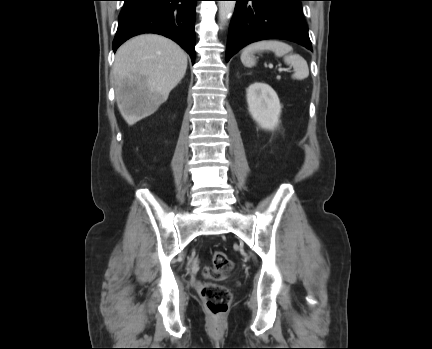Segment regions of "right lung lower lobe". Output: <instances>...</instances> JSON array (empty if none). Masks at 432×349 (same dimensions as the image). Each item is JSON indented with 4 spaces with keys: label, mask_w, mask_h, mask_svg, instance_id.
Returning <instances> with one entry per match:
<instances>
[{
    "label": "right lung lower lobe",
    "mask_w": 432,
    "mask_h": 349,
    "mask_svg": "<svg viewBox=\"0 0 432 349\" xmlns=\"http://www.w3.org/2000/svg\"><path fill=\"white\" fill-rule=\"evenodd\" d=\"M198 0H124L114 52L127 39L156 33L176 41L195 60V6Z\"/></svg>",
    "instance_id": "98d812e1"
}]
</instances>
